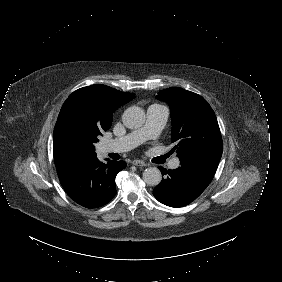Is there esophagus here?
Listing matches in <instances>:
<instances>
[{
    "label": "esophagus",
    "mask_w": 282,
    "mask_h": 282,
    "mask_svg": "<svg viewBox=\"0 0 282 282\" xmlns=\"http://www.w3.org/2000/svg\"><path fill=\"white\" fill-rule=\"evenodd\" d=\"M132 163L135 165V166H138V167H145L146 164L145 162L141 161V160H133Z\"/></svg>",
    "instance_id": "esophagus-1"
}]
</instances>
